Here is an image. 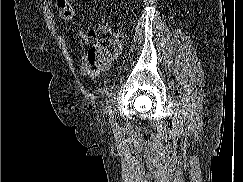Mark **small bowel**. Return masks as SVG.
I'll return each instance as SVG.
<instances>
[{
    "label": "small bowel",
    "mask_w": 243,
    "mask_h": 182,
    "mask_svg": "<svg viewBox=\"0 0 243 182\" xmlns=\"http://www.w3.org/2000/svg\"><path fill=\"white\" fill-rule=\"evenodd\" d=\"M78 45L81 56L80 72L82 75L90 78H97L109 70L111 60L93 56L90 50L87 51L88 36L85 32L79 33Z\"/></svg>",
    "instance_id": "1"
}]
</instances>
